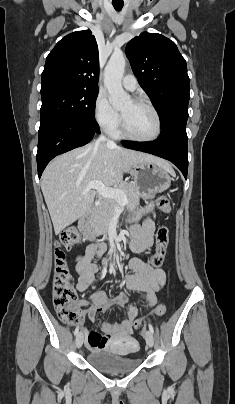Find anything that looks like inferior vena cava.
Masks as SVG:
<instances>
[{"label":"inferior vena cava","instance_id":"inferior-vena-cava-1","mask_svg":"<svg viewBox=\"0 0 235 404\" xmlns=\"http://www.w3.org/2000/svg\"><path fill=\"white\" fill-rule=\"evenodd\" d=\"M101 142H108L109 144H114L113 141L107 139L104 135H100L99 138L95 142V148L101 143Z\"/></svg>","mask_w":235,"mask_h":404}]
</instances>
